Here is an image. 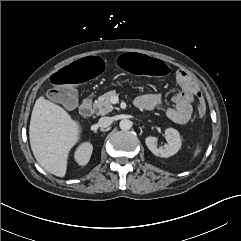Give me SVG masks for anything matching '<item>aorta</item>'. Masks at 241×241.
<instances>
[{
	"mask_svg": "<svg viewBox=\"0 0 241 241\" xmlns=\"http://www.w3.org/2000/svg\"><path fill=\"white\" fill-rule=\"evenodd\" d=\"M119 126L121 130L126 131L132 127V122L130 120L124 119L120 121Z\"/></svg>",
	"mask_w": 241,
	"mask_h": 241,
	"instance_id": "1",
	"label": "aorta"
}]
</instances>
